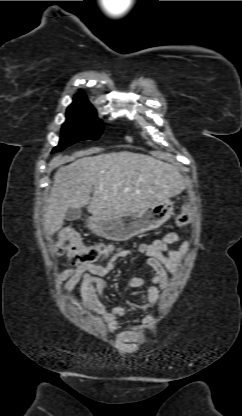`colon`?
<instances>
[{
    "instance_id": "5ec220e1",
    "label": "colon",
    "mask_w": 242,
    "mask_h": 416,
    "mask_svg": "<svg viewBox=\"0 0 242 416\" xmlns=\"http://www.w3.org/2000/svg\"><path fill=\"white\" fill-rule=\"evenodd\" d=\"M192 220V213L189 207L176 216L175 223L177 226H186ZM113 250L109 243L99 242L87 245L75 231L64 230L61 232L58 242L55 245L54 252L57 255L67 254L69 262L75 265H90L107 257Z\"/></svg>"
}]
</instances>
